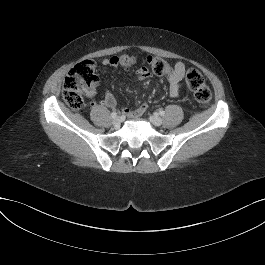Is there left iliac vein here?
<instances>
[{"label": "left iliac vein", "mask_w": 265, "mask_h": 265, "mask_svg": "<svg viewBox=\"0 0 265 265\" xmlns=\"http://www.w3.org/2000/svg\"><path fill=\"white\" fill-rule=\"evenodd\" d=\"M150 121L155 126H160L162 124V119L158 115L150 116Z\"/></svg>", "instance_id": "4c4485c4"}]
</instances>
